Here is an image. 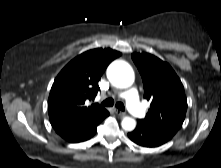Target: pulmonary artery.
Returning a JSON list of instances; mask_svg holds the SVG:
<instances>
[{
    "label": "pulmonary artery",
    "mask_w": 221,
    "mask_h": 168,
    "mask_svg": "<svg viewBox=\"0 0 221 168\" xmlns=\"http://www.w3.org/2000/svg\"><path fill=\"white\" fill-rule=\"evenodd\" d=\"M120 97L125 98L126 105L129 111L138 118L145 116V109L139 102L138 92L135 88H131L119 94Z\"/></svg>",
    "instance_id": "obj_1"
}]
</instances>
